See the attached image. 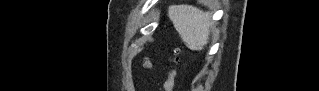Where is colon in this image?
Returning a JSON list of instances; mask_svg holds the SVG:
<instances>
[{
  "label": "colon",
  "instance_id": "5ec220e1",
  "mask_svg": "<svg viewBox=\"0 0 319 91\" xmlns=\"http://www.w3.org/2000/svg\"><path fill=\"white\" fill-rule=\"evenodd\" d=\"M179 62V49L174 50L173 66L168 73L167 80L165 82V90L171 91L174 87L175 78H176V65Z\"/></svg>",
  "mask_w": 319,
  "mask_h": 91
}]
</instances>
